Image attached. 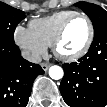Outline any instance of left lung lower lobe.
<instances>
[{
	"instance_id": "1",
	"label": "left lung lower lobe",
	"mask_w": 107,
	"mask_h": 107,
	"mask_svg": "<svg viewBox=\"0 0 107 107\" xmlns=\"http://www.w3.org/2000/svg\"><path fill=\"white\" fill-rule=\"evenodd\" d=\"M60 92L70 107L107 105V30L94 35L88 53L77 63L63 64Z\"/></svg>"
}]
</instances>
